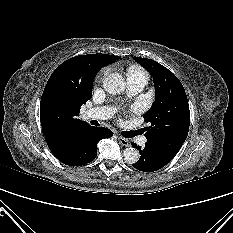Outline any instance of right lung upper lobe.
<instances>
[{
    "label": "right lung upper lobe",
    "mask_w": 233,
    "mask_h": 233,
    "mask_svg": "<svg viewBox=\"0 0 233 233\" xmlns=\"http://www.w3.org/2000/svg\"><path fill=\"white\" fill-rule=\"evenodd\" d=\"M120 59L107 54L79 55L63 62L50 76L40 103V121L52 153L64 150L76 133L88 124L77 118L81 105L92 96V83L104 66ZM63 113L53 116L51 108Z\"/></svg>",
    "instance_id": "right-lung-upper-lobe-1"
}]
</instances>
